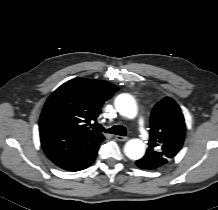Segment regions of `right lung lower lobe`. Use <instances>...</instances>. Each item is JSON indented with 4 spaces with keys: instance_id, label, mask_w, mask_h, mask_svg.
Instances as JSON below:
<instances>
[{
    "instance_id": "1",
    "label": "right lung lower lobe",
    "mask_w": 218,
    "mask_h": 210,
    "mask_svg": "<svg viewBox=\"0 0 218 210\" xmlns=\"http://www.w3.org/2000/svg\"><path fill=\"white\" fill-rule=\"evenodd\" d=\"M40 140L46 156L55 165L75 172L93 163L104 136H78L58 130H40Z\"/></svg>"
}]
</instances>
